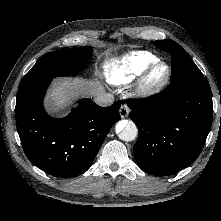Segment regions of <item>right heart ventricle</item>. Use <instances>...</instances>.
<instances>
[{"label": "right heart ventricle", "mask_w": 221, "mask_h": 221, "mask_svg": "<svg viewBox=\"0 0 221 221\" xmlns=\"http://www.w3.org/2000/svg\"><path fill=\"white\" fill-rule=\"evenodd\" d=\"M159 58L149 51H135L119 59L109 61L104 66L107 82L114 86H125L139 77Z\"/></svg>", "instance_id": "right-heart-ventricle-1"}]
</instances>
